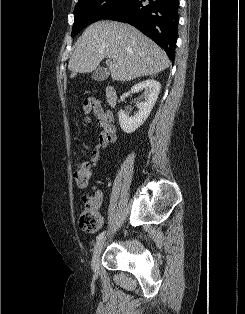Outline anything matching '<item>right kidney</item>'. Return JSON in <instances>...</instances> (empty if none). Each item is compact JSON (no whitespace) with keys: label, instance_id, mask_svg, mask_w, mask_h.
I'll use <instances>...</instances> for the list:
<instances>
[{"label":"right kidney","instance_id":"1","mask_svg":"<svg viewBox=\"0 0 245 314\" xmlns=\"http://www.w3.org/2000/svg\"><path fill=\"white\" fill-rule=\"evenodd\" d=\"M160 89V83L153 79L140 82L131 88L132 93L144 90L145 101L137 104L139 111L133 117L127 116L122 111L118 113L120 127L125 133H133L143 125L157 101Z\"/></svg>","mask_w":245,"mask_h":314}]
</instances>
